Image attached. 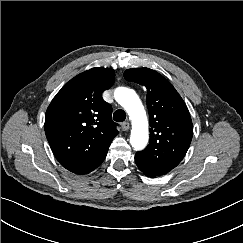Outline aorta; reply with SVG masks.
<instances>
[{
  "mask_svg": "<svg viewBox=\"0 0 243 243\" xmlns=\"http://www.w3.org/2000/svg\"><path fill=\"white\" fill-rule=\"evenodd\" d=\"M115 100L127 111L132 120L130 143L135 150H142L148 142V121L144 107L132 89L118 87L114 92Z\"/></svg>",
  "mask_w": 243,
  "mask_h": 243,
  "instance_id": "obj_1",
  "label": "aorta"
}]
</instances>
